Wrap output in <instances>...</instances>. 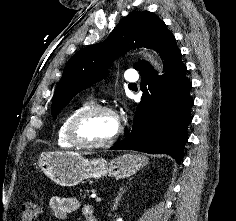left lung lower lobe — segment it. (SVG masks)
Wrapping results in <instances>:
<instances>
[{"label": "left lung lower lobe", "mask_w": 236, "mask_h": 221, "mask_svg": "<svg viewBox=\"0 0 236 221\" xmlns=\"http://www.w3.org/2000/svg\"><path fill=\"white\" fill-rule=\"evenodd\" d=\"M164 61L162 77L149 63L138 71L142 77V99L135 113L132 132L116 144L114 150H136L150 154H168L180 163L187 141L191 82L181 61L175 37L165 32L155 46Z\"/></svg>", "instance_id": "1"}]
</instances>
